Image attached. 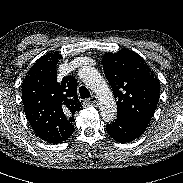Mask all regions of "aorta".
<instances>
[{"label": "aorta", "mask_w": 183, "mask_h": 183, "mask_svg": "<svg viewBox=\"0 0 183 183\" xmlns=\"http://www.w3.org/2000/svg\"><path fill=\"white\" fill-rule=\"evenodd\" d=\"M79 77L88 86L100 100L99 110L104 121H112L117 114V106L105 79L101 74L90 66H83L79 69Z\"/></svg>", "instance_id": "762f6f07"}]
</instances>
